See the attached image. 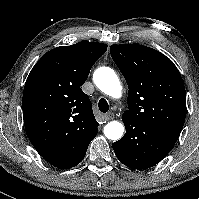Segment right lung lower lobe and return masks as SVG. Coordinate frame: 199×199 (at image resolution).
Listing matches in <instances>:
<instances>
[{
  "label": "right lung lower lobe",
  "mask_w": 199,
  "mask_h": 199,
  "mask_svg": "<svg viewBox=\"0 0 199 199\" xmlns=\"http://www.w3.org/2000/svg\"><path fill=\"white\" fill-rule=\"evenodd\" d=\"M85 154H86V152L80 157V159L74 164V166L78 165V164L83 160ZM53 166H54V165H53ZM74 166H73V167H74ZM55 167H56V166H55Z\"/></svg>",
  "instance_id": "obj_1"
}]
</instances>
